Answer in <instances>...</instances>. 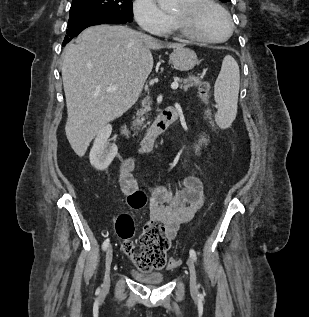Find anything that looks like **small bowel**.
I'll use <instances>...</instances> for the list:
<instances>
[{
	"label": "small bowel",
	"mask_w": 309,
	"mask_h": 317,
	"mask_svg": "<svg viewBox=\"0 0 309 317\" xmlns=\"http://www.w3.org/2000/svg\"><path fill=\"white\" fill-rule=\"evenodd\" d=\"M133 159L123 162L120 172L122 191L130 195L138 190L137 182L132 175ZM150 212L153 220L161 221L168 238L173 239L179 227L190 221L202 208L205 198L202 181L196 176L185 179L184 187L171 192L163 186L150 189Z\"/></svg>",
	"instance_id": "obj_1"
}]
</instances>
